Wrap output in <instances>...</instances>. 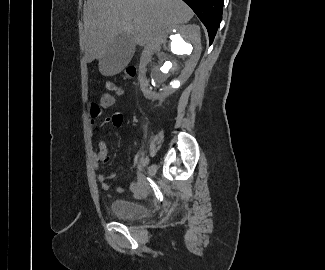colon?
I'll use <instances>...</instances> for the list:
<instances>
[{
  "mask_svg": "<svg viewBox=\"0 0 325 270\" xmlns=\"http://www.w3.org/2000/svg\"><path fill=\"white\" fill-rule=\"evenodd\" d=\"M136 74V70L134 67H129L126 70V77L131 78ZM120 93V88L118 84L115 82H108L106 85V91L103 93L100 103L104 107H110L115 103L117 95Z\"/></svg>",
  "mask_w": 325,
  "mask_h": 270,
  "instance_id": "obj_1",
  "label": "colon"
}]
</instances>
